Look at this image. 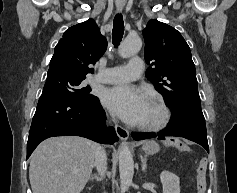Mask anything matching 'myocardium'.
Returning <instances> with one entry per match:
<instances>
[{"mask_svg":"<svg viewBox=\"0 0 237 193\" xmlns=\"http://www.w3.org/2000/svg\"><path fill=\"white\" fill-rule=\"evenodd\" d=\"M150 101L154 103L159 111V119L153 123H139L138 128L145 131H158L165 128L171 119V112L167 104L159 97L153 96Z\"/></svg>","mask_w":237,"mask_h":193,"instance_id":"myocardium-1","label":"myocardium"}]
</instances>
